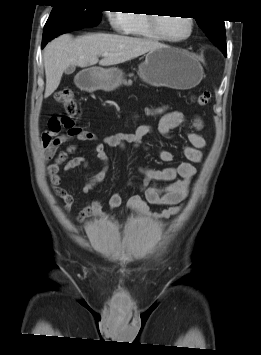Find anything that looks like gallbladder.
<instances>
[{
  "instance_id": "bac80fb5",
  "label": "gallbladder",
  "mask_w": 261,
  "mask_h": 355,
  "mask_svg": "<svg viewBox=\"0 0 261 355\" xmlns=\"http://www.w3.org/2000/svg\"><path fill=\"white\" fill-rule=\"evenodd\" d=\"M74 71H75V66L71 65L65 70V73L67 75H69V74L73 73Z\"/></svg>"
}]
</instances>
